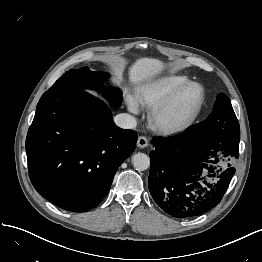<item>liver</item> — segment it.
I'll use <instances>...</instances> for the list:
<instances>
[{
  "mask_svg": "<svg viewBox=\"0 0 262 262\" xmlns=\"http://www.w3.org/2000/svg\"><path fill=\"white\" fill-rule=\"evenodd\" d=\"M165 65L154 58H138L129 68V79L132 84H140L158 75Z\"/></svg>",
  "mask_w": 262,
  "mask_h": 262,
  "instance_id": "6515ba94",
  "label": "liver"
}]
</instances>
